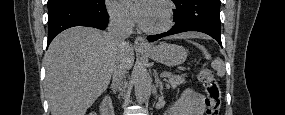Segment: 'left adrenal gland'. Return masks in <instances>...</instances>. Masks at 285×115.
<instances>
[{
	"label": "left adrenal gland",
	"mask_w": 285,
	"mask_h": 115,
	"mask_svg": "<svg viewBox=\"0 0 285 115\" xmlns=\"http://www.w3.org/2000/svg\"><path fill=\"white\" fill-rule=\"evenodd\" d=\"M155 84L157 87H159V91H160V94L162 95V91H163V82H161V80L158 78V75L156 74L155 75Z\"/></svg>",
	"instance_id": "a2214340"
}]
</instances>
